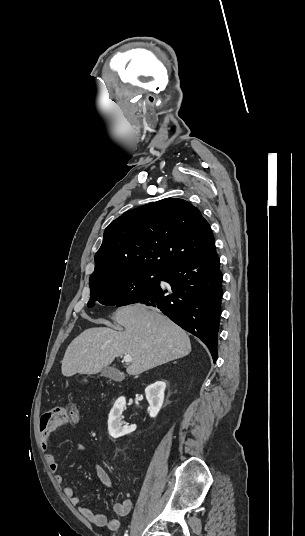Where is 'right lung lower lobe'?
Instances as JSON below:
<instances>
[{
  "instance_id": "98d812e1",
  "label": "right lung lower lobe",
  "mask_w": 305,
  "mask_h": 536,
  "mask_svg": "<svg viewBox=\"0 0 305 536\" xmlns=\"http://www.w3.org/2000/svg\"><path fill=\"white\" fill-rule=\"evenodd\" d=\"M222 278L220 261L213 247L198 257L166 269L162 280L168 282L171 289L159 285L138 302L157 307L176 324L200 338L215 362Z\"/></svg>"
}]
</instances>
